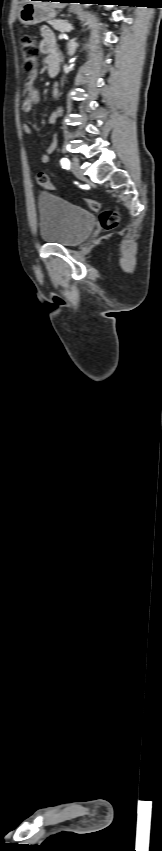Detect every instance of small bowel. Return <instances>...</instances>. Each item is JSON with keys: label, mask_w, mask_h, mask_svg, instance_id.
<instances>
[{"label": "small bowel", "mask_w": 162, "mask_h": 851, "mask_svg": "<svg viewBox=\"0 0 162 851\" xmlns=\"http://www.w3.org/2000/svg\"><path fill=\"white\" fill-rule=\"evenodd\" d=\"M41 35H42V40L39 43V51L42 54L48 55L47 58H46L47 61L49 59H56V60L59 61V55L57 53V48H56V46H57L56 40H55V36H54L53 32L48 27H42ZM36 77H37V70L33 69L29 73L27 80H26V83H25V89H24V95H23L21 107H22V110L26 114H30L32 109H33V106L36 105L40 100L39 93L34 87V81L36 80ZM61 112H62V109L58 108L54 113H52L51 116L48 119V123L49 124L55 123L56 120L60 117ZM22 129L27 135L32 134V129H31V126L28 122H23ZM56 147H57V134H54L51 142L48 143V145L46 146L45 152L41 156V162L42 163L46 164V163L49 162L50 154L54 152Z\"/></svg>", "instance_id": "c3829d8e"}]
</instances>
